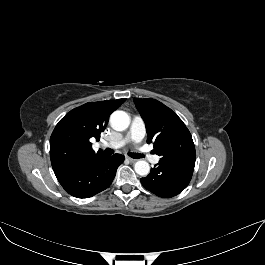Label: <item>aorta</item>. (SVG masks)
Wrapping results in <instances>:
<instances>
[{
    "label": "aorta",
    "instance_id": "obj_1",
    "mask_svg": "<svg viewBox=\"0 0 265 265\" xmlns=\"http://www.w3.org/2000/svg\"><path fill=\"white\" fill-rule=\"evenodd\" d=\"M110 124L114 130L123 131L130 125V117L126 112L117 110L111 114ZM134 170L138 175L146 176L150 172L149 163L139 160L135 163Z\"/></svg>",
    "mask_w": 265,
    "mask_h": 265
}]
</instances>
